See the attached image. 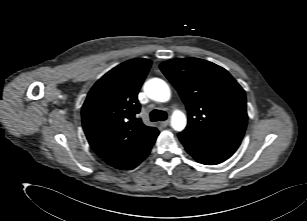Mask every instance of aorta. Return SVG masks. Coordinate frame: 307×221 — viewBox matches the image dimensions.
<instances>
[{"label":"aorta","mask_w":307,"mask_h":221,"mask_svg":"<svg viewBox=\"0 0 307 221\" xmlns=\"http://www.w3.org/2000/svg\"><path fill=\"white\" fill-rule=\"evenodd\" d=\"M147 96L158 102H167L170 99V88L165 81L159 78L148 80L144 85ZM186 116L181 111H175L171 117V126L176 131H182L186 127Z\"/></svg>","instance_id":"1"}]
</instances>
